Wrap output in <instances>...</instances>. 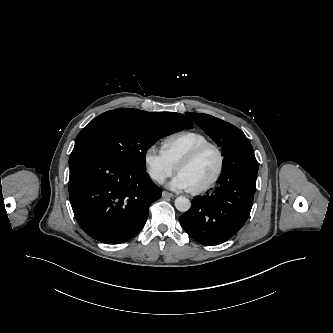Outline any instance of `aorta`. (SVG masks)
Returning a JSON list of instances; mask_svg holds the SVG:
<instances>
[{"mask_svg": "<svg viewBox=\"0 0 333 333\" xmlns=\"http://www.w3.org/2000/svg\"><path fill=\"white\" fill-rule=\"evenodd\" d=\"M175 207L180 212H186L191 207V202L184 196H179L175 199Z\"/></svg>", "mask_w": 333, "mask_h": 333, "instance_id": "762f6f07", "label": "aorta"}]
</instances>
